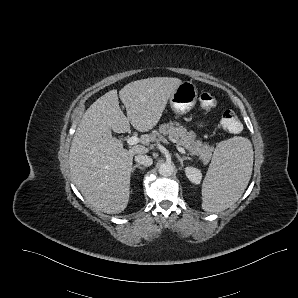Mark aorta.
<instances>
[{"label":"aorta","instance_id":"aorta-1","mask_svg":"<svg viewBox=\"0 0 298 298\" xmlns=\"http://www.w3.org/2000/svg\"><path fill=\"white\" fill-rule=\"evenodd\" d=\"M158 172L161 176H170L174 172V166L169 162H164L159 166Z\"/></svg>","mask_w":298,"mask_h":298}]
</instances>
